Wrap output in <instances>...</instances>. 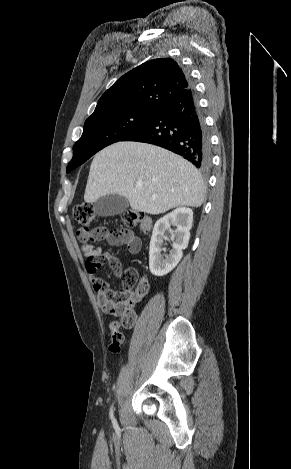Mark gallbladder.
<instances>
[{
    "instance_id": "gallbladder-1",
    "label": "gallbladder",
    "mask_w": 291,
    "mask_h": 469,
    "mask_svg": "<svg viewBox=\"0 0 291 469\" xmlns=\"http://www.w3.org/2000/svg\"><path fill=\"white\" fill-rule=\"evenodd\" d=\"M127 198L118 194H107L100 197L93 205L94 212L102 217L114 216L127 210Z\"/></svg>"
}]
</instances>
